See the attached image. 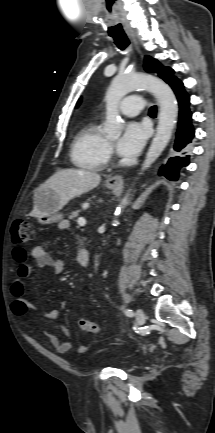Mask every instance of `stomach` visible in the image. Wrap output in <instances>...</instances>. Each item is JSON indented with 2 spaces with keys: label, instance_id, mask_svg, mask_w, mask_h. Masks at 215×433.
<instances>
[{
  "label": "stomach",
  "instance_id": "obj_1",
  "mask_svg": "<svg viewBox=\"0 0 215 433\" xmlns=\"http://www.w3.org/2000/svg\"><path fill=\"white\" fill-rule=\"evenodd\" d=\"M106 187L110 190L117 188L116 185L106 184ZM34 205L40 212L38 221L40 224L48 225L62 220V216L59 213L61 209L58 204L56 194L46 188L39 187L34 192Z\"/></svg>",
  "mask_w": 215,
  "mask_h": 433
}]
</instances>
